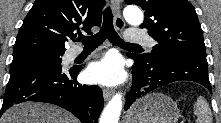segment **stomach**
<instances>
[{
	"instance_id": "stomach-1",
	"label": "stomach",
	"mask_w": 221,
	"mask_h": 123,
	"mask_svg": "<svg viewBox=\"0 0 221 123\" xmlns=\"http://www.w3.org/2000/svg\"><path fill=\"white\" fill-rule=\"evenodd\" d=\"M179 116L175 101L162 93H151L130 107L124 123H177Z\"/></svg>"
}]
</instances>
